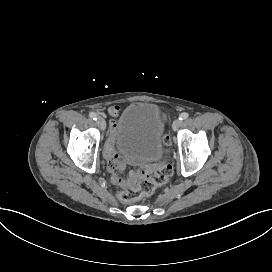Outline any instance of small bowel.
<instances>
[{
  "mask_svg": "<svg viewBox=\"0 0 272 272\" xmlns=\"http://www.w3.org/2000/svg\"><path fill=\"white\" fill-rule=\"evenodd\" d=\"M119 111H120L119 106H111L108 108V114L111 117L109 121L110 138L106 143L105 151H104V157L107 160V170H108V161L112 157H121L122 159H124L115 151V140L118 133V123L115 118L118 116Z\"/></svg>",
  "mask_w": 272,
  "mask_h": 272,
  "instance_id": "1",
  "label": "small bowel"
}]
</instances>
